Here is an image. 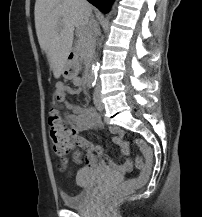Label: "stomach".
<instances>
[{
    "mask_svg": "<svg viewBox=\"0 0 202 217\" xmlns=\"http://www.w3.org/2000/svg\"><path fill=\"white\" fill-rule=\"evenodd\" d=\"M79 68L75 61L67 60L62 69V75L64 78L71 79L78 75Z\"/></svg>",
    "mask_w": 202,
    "mask_h": 217,
    "instance_id": "obj_1",
    "label": "stomach"
}]
</instances>
